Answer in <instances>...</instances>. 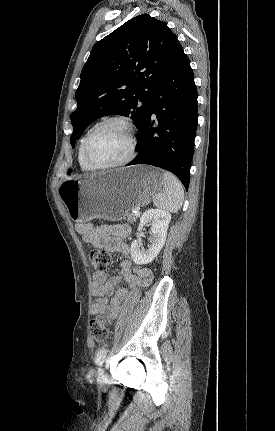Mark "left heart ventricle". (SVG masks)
<instances>
[{"mask_svg": "<svg viewBox=\"0 0 275 431\" xmlns=\"http://www.w3.org/2000/svg\"><path fill=\"white\" fill-rule=\"evenodd\" d=\"M130 140L127 129L113 122L99 128L91 137L87 152L94 164H111L126 157Z\"/></svg>", "mask_w": 275, "mask_h": 431, "instance_id": "obj_1", "label": "left heart ventricle"}]
</instances>
